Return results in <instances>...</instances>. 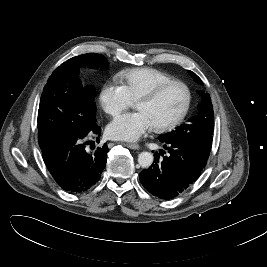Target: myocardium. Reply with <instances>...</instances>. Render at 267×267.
I'll return each mask as SVG.
<instances>
[{
    "label": "myocardium",
    "instance_id": "f54148a6",
    "mask_svg": "<svg viewBox=\"0 0 267 267\" xmlns=\"http://www.w3.org/2000/svg\"><path fill=\"white\" fill-rule=\"evenodd\" d=\"M175 85L181 86L184 89L185 94H186L185 105H184L183 109L181 110V112L179 113V115L174 120H172L171 122L166 123L164 125L152 127L151 129L155 133H165V132L172 131L175 128H177L179 125H181L182 122L185 120V118L187 117L188 112L190 110L191 101H192V94H191V91H190V88L188 87V85L181 80L173 79L170 81H166V82L161 83L158 86L154 87L152 90L142 94L134 102V105L138 102H151V101L155 100L166 89H168L171 86H175Z\"/></svg>",
    "mask_w": 267,
    "mask_h": 267
}]
</instances>
